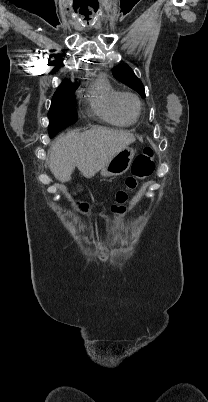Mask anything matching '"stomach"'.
<instances>
[{
  "label": "stomach",
  "mask_w": 208,
  "mask_h": 402,
  "mask_svg": "<svg viewBox=\"0 0 208 402\" xmlns=\"http://www.w3.org/2000/svg\"><path fill=\"white\" fill-rule=\"evenodd\" d=\"M135 156V150L133 148H123L121 152L115 154L108 164L102 168L100 174L104 178H110V176H122L131 166V162Z\"/></svg>",
  "instance_id": "1"
}]
</instances>
